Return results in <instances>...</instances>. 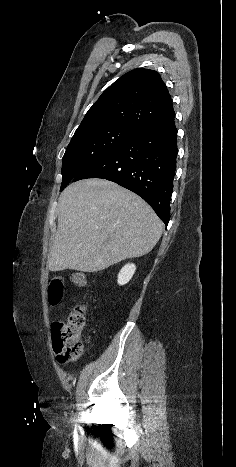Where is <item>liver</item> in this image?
<instances>
[{
    "label": "liver",
    "instance_id": "1",
    "mask_svg": "<svg viewBox=\"0 0 236 467\" xmlns=\"http://www.w3.org/2000/svg\"><path fill=\"white\" fill-rule=\"evenodd\" d=\"M163 223L138 195L104 179L69 185L58 200L50 271L97 272L149 253Z\"/></svg>",
    "mask_w": 236,
    "mask_h": 467
}]
</instances>
